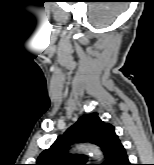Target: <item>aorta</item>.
Segmentation results:
<instances>
[{
	"label": "aorta",
	"instance_id": "1",
	"mask_svg": "<svg viewBox=\"0 0 154 165\" xmlns=\"http://www.w3.org/2000/svg\"><path fill=\"white\" fill-rule=\"evenodd\" d=\"M78 150L81 152L89 153L95 156V158H97L98 160L103 159V154L97 146L90 145V144H82L78 147Z\"/></svg>",
	"mask_w": 154,
	"mask_h": 165
}]
</instances>
